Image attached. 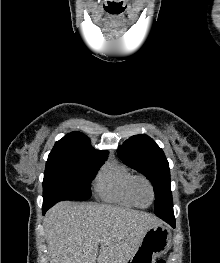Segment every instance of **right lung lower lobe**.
Returning <instances> with one entry per match:
<instances>
[{
  "label": "right lung lower lobe",
  "mask_w": 220,
  "mask_h": 263,
  "mask_svg": "<svg viewBox=\"0 0 220 263\" xmlns=\"http://www.w3.org/2000/svg\"><path fill=\"white\" fill-rule=\"evenodd\" d=\"M54 204L50 203V204H43V214H45V212L50 208L52 207Z\"/></svg>",
  "instance_id": "right-lung-lower-lobe-1"
}]
</instances>
